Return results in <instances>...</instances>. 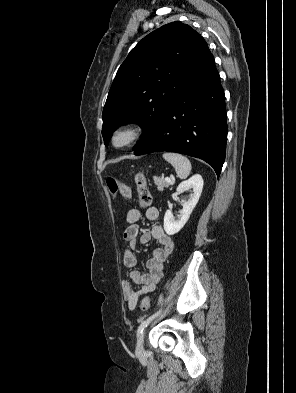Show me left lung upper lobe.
Here are the masks:
<instances>
[{
  "label": "left lung upper lobe",
  "mask_w": 296,
  "mask_h": 393,
  "mask_svg": "<svg viewBox=\"0 0 296 393\" xmlns=\"http://www.w3.org/2000/svg\"><path fill=\"white\" fill-rule=\"evenodd\" d=\"M211 55L201 35L178 21L144 37L122 63L110 88L103 109L105 144L119 126L137 122L143 136L134 150L141 146Z\"/></svg>",
  "instance_id": "1"
}]
</instances>
